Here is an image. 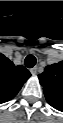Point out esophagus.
<instances>
[{
    "instance_id": "1",
    "label": "esophagus",
    "mask_w": 63,
    "mask_h": 123,
    "mask_svg": "<svg viewBox=\"0 0 63 123\" xmlns=\"http://www.w3.org/2000/svg\"><path fill=\"white\" fill-rule=\"evenodd\" d=\"M37 69H38V68H37L36 66L33 67V68H31V69H30L31 74H32V75H35V74L37 73Z\"/></svg>"
}]
</instances>
